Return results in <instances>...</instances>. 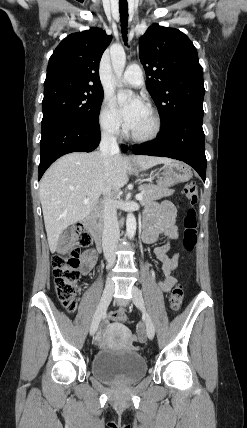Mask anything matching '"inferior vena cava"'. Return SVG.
<instances>
[{"label": "inferior vena cava", "instance_id": "inferior-vena-cava-1", "mask_svg": "<svg viewBox=\"0 0 247 428\" xmlns=\"http://www.w3.org/2000/svg\"><path fill=\"white\" fill-rule=\"evenodd\" d=\"M100 152L103 158L104 175H108L112 156L120 153L116 137L111 131H103L100 142ZM103 221V252L108 261V265L112 266L115 262V249L119 241L120 232L117 221L116 204L115 201L111 199L110 189H106L104 192Z\"/></svg>", "mask_w": 247, "mask_h": 428}]
</instances>
